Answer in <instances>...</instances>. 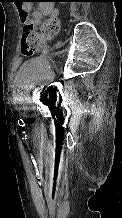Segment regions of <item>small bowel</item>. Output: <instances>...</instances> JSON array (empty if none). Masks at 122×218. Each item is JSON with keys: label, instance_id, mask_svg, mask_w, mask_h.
I'll return each instance as SVG.
<instances>
[{"label": "small bowel", "instance_id": "small-bowel-1", "mask_svg": "<svg viewBox=\"0 0 122 218\" xmlns=\"http://www.w3.org/2000/svg\"><path fill=\"white\" fill-rule=\"evenodd\" d=\"M52 0H42L40 5L36 9H32L31 5L24 4L19 7L20 19L24 21L22 16V11H26L27 15H31L35 23H39L43 16H49L51 18H56L58 11L54 8L51 3Z\"/></svg>", "mask_w": 122, "mask_h": 218}]
</instances>
